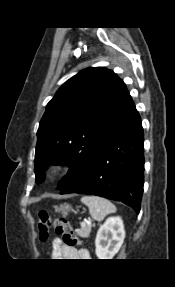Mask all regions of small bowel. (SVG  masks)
I'll return each instance as SVG.
<instances>
[{
  "instance_id": "c3829d8e",
  "label": "small bowel",
  "mask_w": 175,
  "mask_h": 287,
  "mask_svg": "<svg viewBox=\"0 0 175 287\" xmlns=\"http://www.w3.org/2000/svg\"><path fill=\"white\" fill-rule=\"evenodd\" d=\"M52 256L53 258L65 259H89L90 253L86 249H76L67 246L60 238H55L52 243Z\"/></svg>"
}]
</instances>
